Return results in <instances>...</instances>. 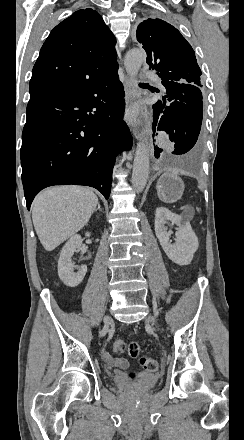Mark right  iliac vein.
<instances>
[{"mask_svg": "<svg viewBox=\"0 0 244 440\" xmlns=\"http://www.w3.org/2000/svg\"><path fill=\"white\" fill-rule=\"evenodd\" d=\"M104 322H105L106 324L111 323V322H112L111 317H109V316L105 317Z\"/></svg>", "mask_w": 244, "mask_h": 440, "instance_id": "63e3f726", "label": "right iliac vein"}]
</instances>
